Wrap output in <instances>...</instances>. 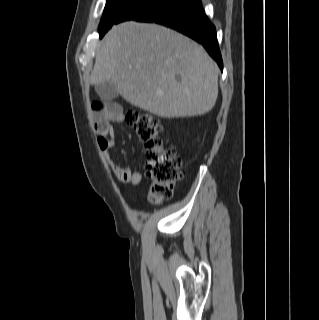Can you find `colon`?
<instances>
[{
    "mask_svg": "<svg viewBox=\"0 0 319 320\" xmlns=\"http://www.w3.org/2000/svg\"><path fill=\"white\" fill-rule=\"evenodd\" d=\"M126 120L145 146V167L151 180L149 199L158 203L171 198L175 184L184 175L181 156L175 148L164 145L162 126L153 115L130 111Z\"/></svg>",
    "mask_w": 319,
    "mask_h": 320,
    "instance_id": "colon-1",
    "label": "colon"
}]
</instances>
